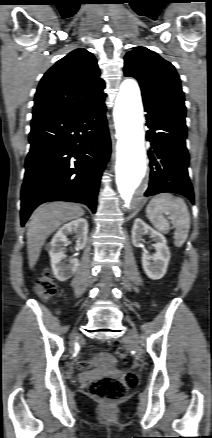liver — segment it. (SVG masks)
<instances>
[{"instance_id": "6515ba94", "label": "liver", "mask_w": 212, "mask_h": 438, "mask_svg": "<svg viewBox=\"0 0 212 438\" xmlns=\"http://www.w3.org/2000/svg\"><path fill=\"white\" fill-rule=\"evenodd\" d=\"M84 210L77 204L53 202L39 206L31 215L27 229L29 267L36 264L46 239L62 224L82 217Z\"/></svg>"}]
</instances>
